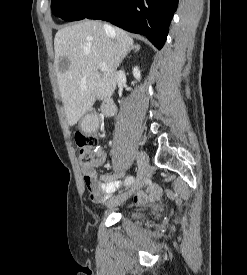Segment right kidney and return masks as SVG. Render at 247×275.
<instances>
[{
	"label": "right kidney",
	"mask_w": 247,
	"mask_h": 275,
	"mask_svg": "<svg viewBox=\"0 0 247 275\" xmlns=\"http://www.w3.org/2000/svg\"><path fill=\"white\" fill-rule=\"evenodd\" d=\"M133 76L135 79L140 80L141 79V73L138 67H134L133 69Z\"/></svg>",
	"instance_id": "ca27d5eb"
}]
</instances>
